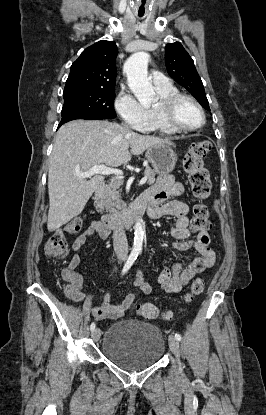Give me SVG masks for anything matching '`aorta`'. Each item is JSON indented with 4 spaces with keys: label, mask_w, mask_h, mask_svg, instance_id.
Segmentation results:
<instances>
[{
    "label": "aorta",
    "mask_w": 266,
    "mask_h": 415,
    "mask_svg": "<svg viewBox=\"0 0 266 415\" xmlns=\"http://www.w3.org/2000/svg\"><path fill=\"white\" fill-rule=\"evenodd\" d=\"M149 54L144 51L133 53L124 64L128 86L141 105H150L155 92L148 79ZM144 240L142 220L138 219L134 226V250L141 251Z\"/></svg>",
    "instance_id": "1"
}]
</instances>
